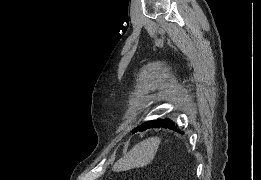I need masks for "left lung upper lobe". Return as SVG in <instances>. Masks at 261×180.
<instances>
[{
    "label": "left lung upper lobe",
    "mask_w": 261,
    "mask_h": 180,
    "mask_svg": "<svg viewBox=\"0 0 261 180\" xmlns=\"http://www.w3.org/2000/svg\"><path fill=\"white\" fill-rule=\"evenodd\" d=\"M154 122H155V120H154V121H148V122L142 124L141 126L135 128L132 132L134 133V132H137V131H139V130H143V129H145L146 127H148V126H150L151 124H153Z\"/></svg>",
    "instance_id": "5c2ea615"
}]
</instances>
